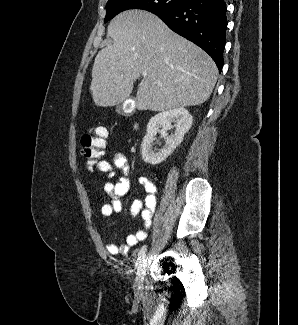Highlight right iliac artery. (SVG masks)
I'll use <instances>...</instances> for the list:
<instances>
[{"label": "right iliac artery", "mask_w": 298, "mask_h": 325, "mask_svg": "<svg viewBox=\"0 0 298 325\" xmlns=\"http://www.w3.org/2000/svg\"><path fill=\"white\" fill-rule=\"evenodd\" d=\"M146 249H147V246L146 245H143L139 251V254H138V260L140 261L141 260V257L145 254L146 252Z\"/></svg>", "instance_id": "82829eb1"}]
</instances>
